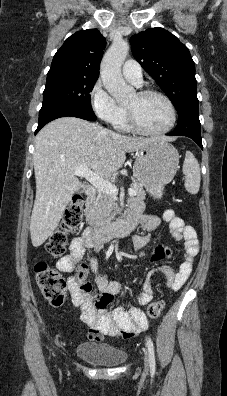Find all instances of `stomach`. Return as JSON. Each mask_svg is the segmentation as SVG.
<instances>
[{
  "label": "stomach",
  "instance_id": "1",
  "mask_svg": "<svg viewBox=\"0 0 227 396\" xmlns=\"http://www.w3.org/2000/svg\"><path fill=\"white\" fill-rule=\"evenodd\" d=\"M178 165L176 148L165 141H155L137 151L133 174L154 198H161Z\"/></svg>",
  "mask_w": 227,
  "mask_h": 396
}]
</instances>
